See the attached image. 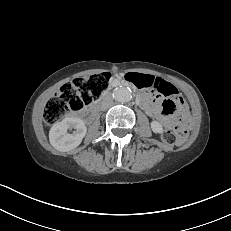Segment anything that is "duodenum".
Instances as JSON below:
<instances>
[{
	"label": "duodenum",
	"mask_w": 231,
	"mask_h": 231,
	"mask_svg": "<svg viewBox=\"0 0 231 231\" xmlns=\"http://www.w3.org/2000/svg\"><path fill=\"white\" fill-rule=\"evenodd\" d=\"M141 97H142V99H143V95H142V93H141ZM144 100V99H143ZM98 105H95L91 110H90V112H95V111H97L98 110Z\"/></svg>",
	"instance_id": "1"
}]
</instances>
